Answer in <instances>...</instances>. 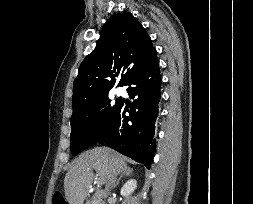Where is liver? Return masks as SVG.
Returning a JSON list of instances; mask_svg holds the SVG:
<instances>
[{"mask_svg":"<svg viewBox=\"0 0 253 204\" xmlns=\"http://www.w3.org/2000/svg\"><path fill=\"white\" fill-rule=\"evenodd\" d=\"M125 158L108 147H96L74 160L64 179L65 197L69 204H84L94 180L93 170L106 183L110 177L124 174Z\"/></svg>","mask_w":253,"mask_h":204,"instance_id":"1","label":"liver"}]
</instances>
